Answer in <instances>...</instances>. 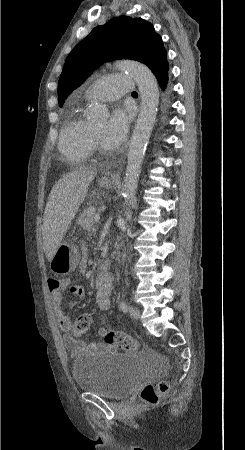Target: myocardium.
Returning a JSON list of instances; mask_svg holds the SVG:
<instances>
[{
  "instance_id": "myocardium-1",
  "label": "myocardium",
  "mask_w": 245,
  "mask_h": 450,
  "mask_svg": "<svg viewBox=\"0 0 245 450\" xmlns=\"http://www.w3.org/2000/svg\"><path fill=\"white\" fill-rule=\"evenodd\" d=\"M91 137H92L93 145L98 146L102 150V152H107V149L104 147L102 141L100 140L98 135L95 133L93 127L91 128Z\"/></svg>"
}]
</instances>
